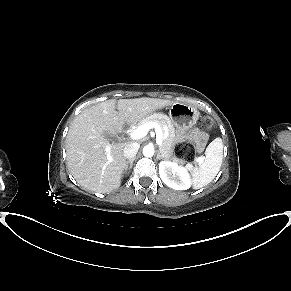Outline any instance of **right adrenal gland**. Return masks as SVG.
I'll return each mask as SVG.
<instances>
[{
  "mask_svg": "<svg viewBox=\"0 0 291 291\" xmlns=\"http://www.w3.org/2000/svg\"><path fill=\"white\" fill-rule=\"evenodd\" d=\"M134 160H135V158H132V159H130V160L127 161V165L130 164V165H129V168H128L129 171L132 169L133 161H134Z\"/></svg>",
  "mask_w": 291,
  "mask_h": 291,
  "instance_id": "2a0ac1e0",
  "label": "right adrenal gland"
}]
</instances>
